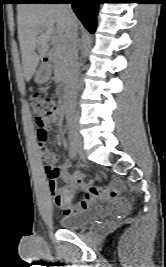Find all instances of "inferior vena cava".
I'll list each match as a JSON object with an SVG mask.
<instances>
[{
	"label": "inferior vena cava",
	"instance_id": "1",
	"mask_svg": "<svg viewBox=\"0 0 166 267\" xmlns=\"http://www.w3.org/2000/svg\"><path fill=\"white\" fill-rule=\"evenodd\" d=\"M62 9L65 12L67 20V48H68V64L70 71V87L74 91L78 83L79 64H78V51H79V38L78 26L75 22L76 16L72 11L70 3H63Z\"/></svg>",
	"mask_w": 166,
	"mask_h": 267
}]
</instances>
